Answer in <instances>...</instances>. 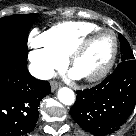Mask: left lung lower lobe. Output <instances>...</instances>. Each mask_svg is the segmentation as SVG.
Listing matches in <instances>:
<instances>
[{
  "mask_svg": "<svg viewBox=\"0 0 136 136\" xmlns=\"http://www.w3.org/2000/svg\"><path fill=\"white\" fill-rule=\"evenodd\" d=\"M136 101V61H122L101 84L77 91L73 119L87 132L107 135L127 120Z\"/></svg>",
  "mask_w": 136,
  "mask_h": 136,
  "instance_id": "1",
  "label": "left lung lower lobe"
}]
</instances>
